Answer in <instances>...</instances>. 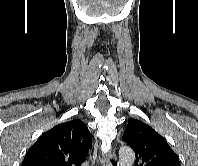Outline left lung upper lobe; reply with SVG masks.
Listing matches in <instances>:
<instances>
[{"instance_id":"left-lung-upper-lobe-1","label":"left lung upper lobe","mask_w":198,"mask_h":166,"mask_svg":"<svg viewBox=\"0 0 198 166\" xmlns=\"http://www.w3.org/2000/svg\"><path fill=\"white\" fill-rule=\"evenodd\" d=\"M123 140L134 150L136 166H180L166 139L139 120L128 122Z\"/></svg>"}]
</instances>
